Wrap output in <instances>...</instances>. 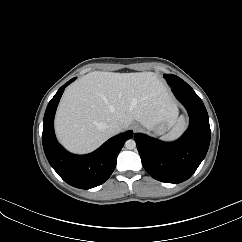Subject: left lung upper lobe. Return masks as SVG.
<instances>
[{
    "label": "left lung upper lobe",
    "instance_id": "left-lung-upper-lobe-1",
    "mask_svg": "<svg viewBox=\"0 0 242 242\" xmlns=\"http://www.w3.org/2000/svg\"><path fill=\"white\" fill-rule=\"evenodd\" d=\"M164 77L172 88H191L185 81H183L178 76L172 74H164Z\"/></svg>",
    "mask_w": 242,
    "mask_h": 242
}]
</instances>
